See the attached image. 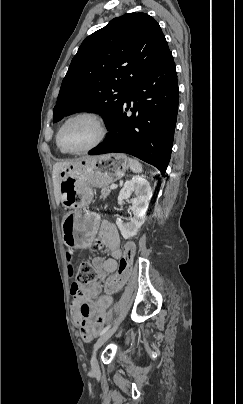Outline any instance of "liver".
<instances>
[{
  "instance_id": "1",
  "label": "liver",
  "mask_w": 243,
  "mask_h": 404,
  "mask_svg": "<svg viewBox=\"0 0 243 404\" xmlns=\"http://www.w3.org/2000/svg\"><path fill=\"white\" fill-rule=\"evenodd\" d=\"M71 164H77V162H57V164H54L53 166V172H52V180H53V186H54V196H55V202L57 206L60 204V190H59V174L63 168H66V166H71Z\"/></svg>"
}]
</instances>
